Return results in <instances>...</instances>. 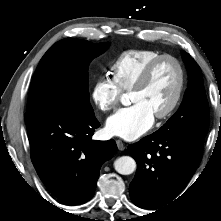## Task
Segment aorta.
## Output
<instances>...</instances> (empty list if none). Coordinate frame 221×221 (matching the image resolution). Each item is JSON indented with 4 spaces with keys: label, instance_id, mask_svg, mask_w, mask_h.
<instances>
[{
    "label": "aorta",
    "instance_id": "aorta-1",
    "mask_svg": "<svg viewBox=\"0 0 221 221\" xmlns=\"http://www.w3.org/2000/svg\"><path fill=\"white\" fill-rule=\"evenodd\" d=\"M115 170L122 175L132 174L136 169V162L130 156H122L114 161Z\"/></svg>",
    "mask_w": 221,
    "mask_h": 221
}]
</instances>
